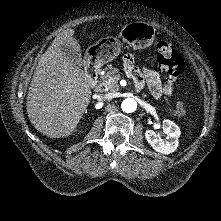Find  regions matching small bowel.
Instances as JSON below:
<instances>
[{"label": "small bowel", "mask_w": 221, "mask_h": 221, "mask_svg": "<svg viewBox=\"0 0 221 221\" xmlns=\"http://www.w3.org/2000/svg\"><path fill=\"white\" fill-rule=\"evenodd\" d=\"M127 73L135 80L136 84L141 85L146 80L151 93L160 98L163 95H172V81L163 82L158 73L154 70L143 69L142 71L133 65V57L127 56L125 59Z\"/></svg>", "instance_id": "1"}]
</instances>
